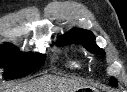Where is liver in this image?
Masks as SVG:
<instances>
[{"instance_id": "obj_1", "label": "liver", "mask_w": 127, "mask_h": 92, "mask_svg": "<svg viewBox=\"0 0 127 92\" xmlns=\"http://www.w3.org/2000/svg\"><path fill=\"white\" fill-rule=\"evenodd\" d=\"M81 87L83 83L77 79L45 76L12 88L9 92H75Z\"/></svg>"}]
</instances>
